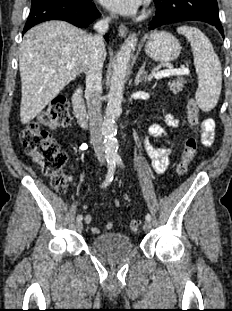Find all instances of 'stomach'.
Segmentation results:
<instances>
[{
	"label": "stomach",
	"mask_w": 232,
	"mask_h": 311,
	"mask_svg": "<svg viewBox=\"0 0 232 311\" xmlns=\"http://www.w3.org/2000/svg\"><path fill=\"white\" fill-rule=\"evenodd\" d=\"M181 46L179 41L167 31L152 32L146 42V54L158 62H171L180 55Z\"/></svg>",
	"instance_id": "stomach-1"
}]
</instances>
